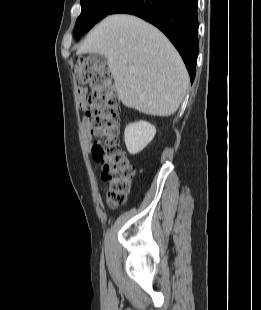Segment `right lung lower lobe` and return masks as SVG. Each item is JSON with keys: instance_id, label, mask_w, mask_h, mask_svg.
<instances>
[{"instance_id": "98d812e1", "label": "right lung lower lobe", "mask_w": 261, "mask_h": 310, "mask_svg": "<svg viewBox=\"0 0 261 310\" xmlns=\"http://www.w3.org/2000/svg\"><path fill=\"white\" fill-rule=\"evenodd\" d=\"M198 0H124L110 14H133L158 27L174 44L190 75L196 74Z\"/></svg>"}]
</instances>
